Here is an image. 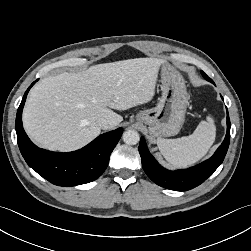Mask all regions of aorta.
Here are the masks:
<instances>
[{
	"mask_svg": "<svg viewBox=\"0 0 251 251\" xmlns=\"http://www.w3.org/2000/svg\"><path fill=\"white\" fill-rule=\"evenodd\" d=\"M140 135L135 130H127L123 133V141L128 145H135L139 142Z\"/></svg>",
	"mask_w": 251,
	"mask_h": 251,
	"instance_id": "1",
	"label": "aorta"
}]
</instances>
